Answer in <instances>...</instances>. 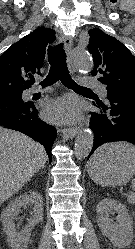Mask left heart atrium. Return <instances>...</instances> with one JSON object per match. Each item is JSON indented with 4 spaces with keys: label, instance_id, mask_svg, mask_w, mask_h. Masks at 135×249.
<instances>
[{
    "label": "left heart atrium",
    "instance_id": "39dd6f15",
    "mask_svg": "<svg viewBox=\"0 0 135 249\" xmlns=\"http://www.w3.org/2000/svg\"><path fill=\"white\" fill-rule=\"evenodd\" d=\"M44 112L48 120L61 124L76 122L81 117L79 103L71 96L49 101Z\"/></svg>",
    "mask_w": 135,
    "mask_h": 249
}]
</instances>
